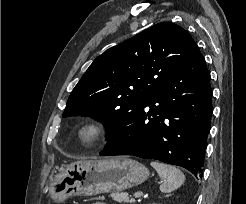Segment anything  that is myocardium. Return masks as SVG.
Wrapping results in <instances>:
<instances>
[{
	"label": "myocardium",
	"instance_id": "myocardium-1",
	"mask_svg": "<svg viewBox=\"0 0 246 204\" xmlns=\"http://www.w3.org/2000/svg\"><path fill=\"white\" fill-rule=\"evenodd\" d=\"M110 132L109 125L99 119L82 122L75 133L78 143L83 147H93L106 139Z\"/></svg>",
	"mask_w": 246,
	"mask_h": 204
}]
</instances>
